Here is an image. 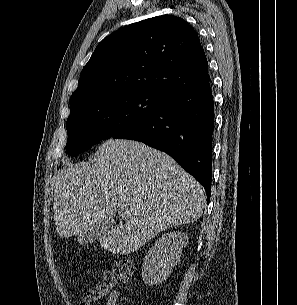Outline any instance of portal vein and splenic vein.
Returning <instances> with one entry per match:
<instances>
[{"label": "portal vein and splenic vein", "mask_w": 297, "mask_h": 305, "mask_svg": "<svg viewBox=\"0 0 297 305\" xmlns=\"http://www.w3.org/2000/svg\"><path fill=\"white\" fill-rule=\"evenodd\" d=\"M119 213H120V214H122V213H123V211H122V210H120V211H119Z\"/></svg>", "instance_id": "1"}]
</instances>
